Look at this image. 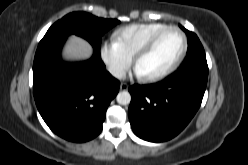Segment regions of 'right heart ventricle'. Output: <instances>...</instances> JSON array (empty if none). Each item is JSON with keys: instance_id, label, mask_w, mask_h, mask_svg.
Listing matches in <instances>:
<instances>
[{"instance_id": "obj_1", "label": "right heart ventricle", "mask_w": 248, "mask_h": 165, "mask_svg": "<svg viewBox=\"0 0 248 165\" xmlns=\"http://www.w3.org/2000/svg\"><path fill=\"white\" fill-rule=\"evenodd\" d=\"M166 26L158 22L131 24L117 30L114 39L129 56L134 57L150 36Z\"/></svg>"}]
</instances>
